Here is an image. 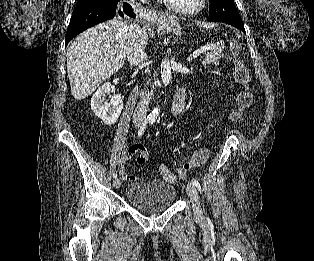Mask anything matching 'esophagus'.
<instances>
[{
	"instance_id": "esophagus-1",
	"label": "esophagus",
	"mask_w": 314,
	"mask_h": 261,
	"mask_svg": "<svg viewBox=\"0 0 314 261\" xmlns=\"http://www.w3.org/2000/svg\"><path fill=\"white\" fill-rule=\"evenodd\" d=\"M153 15H154V16H160V13H158V12H153Z\"/></svg>"
}]
</instances>
